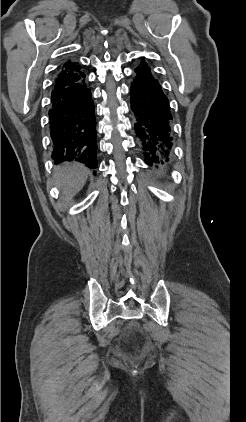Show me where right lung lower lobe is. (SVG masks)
<instances>
[{"mask_svg": "<svg viewBox=\"0 0 246 422\" xmlns=\"http://www.w3.org/2000/svg\"><path fill=\"white\" fill-rule=\"evenodd\" d=\"M94 104L85 74L77 81L53 89L49 109L52 158L56 164L78 161L97 168Z\"/></svg>", "mask_w": 246, "mask_h": 422, "instance_id": "obj_1", "label": "right lung lower lobe"}]
</instances>
